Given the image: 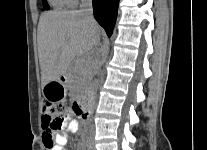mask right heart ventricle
<instances>
[{
	"instance_id": "right-heart-ventricle-1",
	"label": "right heart ventricle",
	"mask_w": 207,
	"mask_h": 150,
	"mask_svg": "<svg viewBox=\"0 0 207 150\" xmlns=\"http://www.w3.org/2000/svg\"><path fill=\"white\" fill-rule=\"evenodd\" d=\"M50 2L55 8L59 9L71 7L75 4L74 0H50Z\"/></svg>"
}]
</instances>
